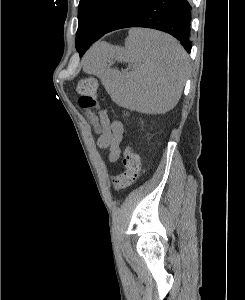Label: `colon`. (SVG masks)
<instances>
[{"mask_svg": "<svg viewBox=\"0 0 245 300\" xmlns=\"http://www.w3.org/2000/svg\"><path fill=\"white\" fill-rule=\"evenodd\" d=\"M98 84L94 78H82L78 81L76 90L79 94L78 104L87 111L98 107ZM140 174V157L131 146L123 151V171L112 177L114 189L121 190L132 185Z\"/></svg>", "mask_w": 245, "mask_h": 300, "instance_id": "obj_1", "label": "colon"}]
</instances>
